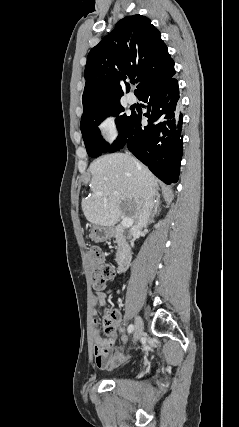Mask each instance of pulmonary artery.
<instances>
[{
	"label": "pulmonary artery",
	"mask_w": 239,
	"mask_h": 427,
	"mask_svg": "<svg viewBox=\"0 0 239 427\" xmlns=\"http://www.w3.org/2000/svg\"><path fill=\"white\" fill-rule=\"evenodd\" d=\"M127 102L129 104H134L136 102V97L134 94L130 93L127 95Z\"/></svg>",
	"instance_id": "obj_1"
}]
</instances>
